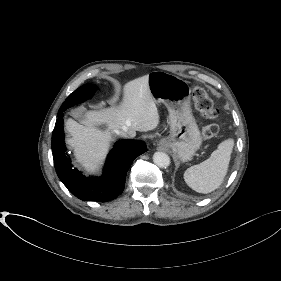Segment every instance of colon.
Wrapping results in <instances>:
<instances>
[{"mask_svg":"<svg viewBox=\"0 0 281 281\" xmlns=\"http://www.w3.org/2000/svg\"><path fill=\"white\" fill-rule=\"evenodd\" d=\"M193 97L198 111L207 121L202 129V137L205 140L214 138L219 132V126L216 123L218 118V110L214 107V102L208 92L202 87H196L193 90Z\"/></svg>","mask_w":281,"mask_h":281,"instance_id":"5ec220e1","label":"colon"}]
</instances>
